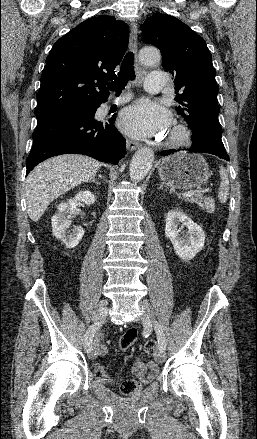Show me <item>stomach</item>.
I'll return each instance as SVG.
<instances>
[{"mask_svg": "<svg viewBox=\"0 0 257 439\" xmlns=\"http://www.w3.org/2000/svg\"><path fill=\"white\" fill-rule=\"evenodd\" d=\"M159 176L170 187L188 190L205 184L209 177V167L197 153H176L159 163Z\"/></svg>", "mask_w": 257, "mask_h": 439, "instance_id": "stomach-1", "label": "stomach"}]
</instances>
